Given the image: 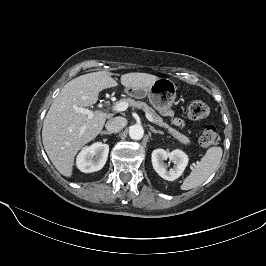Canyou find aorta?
Returning <instances> with one entry per match:
<instances>
[{
	"label": "aorta",
	"mask_w": 266,
	"mask_h": 266,
	"mask_svg": "<svg viewBox=\"0 0 266 266\" xmlns=\"http://www.w3.org/2000/svg\"><path fill=\"white\" fill-rule=\"evenodd\" d=\"M129 136L133 140H140L144 136V129L141 125L135 124L129 128Z\"/></svg>",
	"instance_id": "1"
}]
</instances>
